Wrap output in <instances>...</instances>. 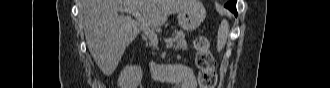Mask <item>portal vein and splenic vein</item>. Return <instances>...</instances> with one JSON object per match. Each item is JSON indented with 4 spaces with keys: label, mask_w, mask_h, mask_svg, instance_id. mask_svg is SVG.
Returning <instances> with one entry per match:
<instances>
[{
    "label": "portal vein and splenic vein",
    "mask_w": 330,
    "mask_h": 88,
    "mask_svg": "<svg viewBox=\"0 0 330 88\" xmlns=\"http://www.w3.org/2000/svg\"><path fill=\"white\" fill-rule=\"evenodd\" d=\"M131 14L136 18L138 24L140 25L141 29L143 30V32L148 36V38L150 39V41L153 44H158V38L156 33L149 27L148 23L145 21V19L142 17V15L140 14L139 11H130ZM173 46V40L169 39L166 42V47L170 48Z\"/></svg>",
    "instance_id": "portal-vein-and-splenic-vein-1"
}]
</instances>
